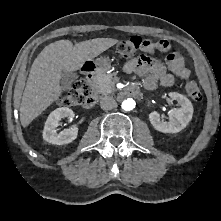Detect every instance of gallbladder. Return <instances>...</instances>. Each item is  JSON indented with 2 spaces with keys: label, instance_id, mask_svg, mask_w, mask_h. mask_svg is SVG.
I'll return each mask as SVG.
<instances>
[{
  "label": "gallbladder",
  "instance_id": "1",
  "mask_svg": "<svg viewBox=\"0 0 221 221\" xmlns=\"http://www.w3.org/2000/svg\"><path fill=\"white\" fill-rule=\"evenodd\" d=\"M78 78L75 72L62 71L60 78V86L63 90L71 88L72 83Z\"/></svg>",
  "mask_w": 221,
  "mask_h": 221
}]
</instances>
